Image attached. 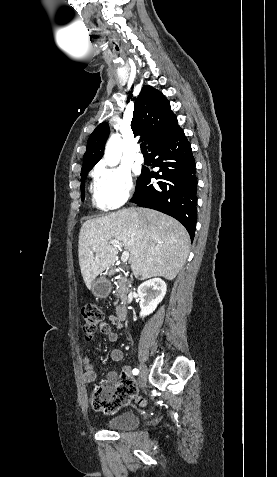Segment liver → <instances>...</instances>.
I'll return each mask as SVG.
<instances>
[{"instance_id":"obj_1","label":"liver","mask_w":277,"mask_h":477,"mask_svg":"<svg viewBox=\"0 0 277 477\" xmlns=\"http://www.w3.org/2000/svg\"><path fill=\"white\" fill-rule=\"evenodd\" d=\"M117 239L130 252L134 276L145 280L161 276L173 280L189 254L190 238L174 218L146 208L122 209L83 223L78 241L81 274L88 289L114 263Z\"/></svg>"}]
</instances>
